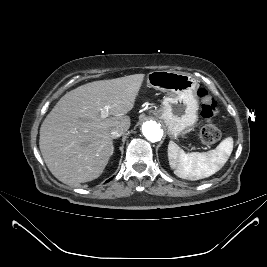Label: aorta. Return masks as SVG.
Instances as JSON below:
<instances>
[{
	"instance_id": "aorta-1",
	"label": "aorta",
	"mask_w": 267,
	"mask_h": 267,
	"mask_svg": "<svg viewBox=\"0 0 267 267\" xmlns=\"http://www.w3.org/2000/svg\"><path fill=\"white\" fill-rule=\"evenodd\" d=\"M142 133L144 137L150 142H157L161 139L163 132L159 125L153 121L148 120L142 124Z\"/></svg>"
}]
</instances>
